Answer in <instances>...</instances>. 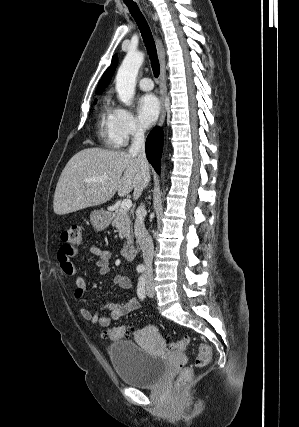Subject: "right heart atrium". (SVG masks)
Here are the masks:
<instances>
[{
  "label": "right heart atrium",
  "instance_id": "right-heart-atrium-1",
  "mask_svg": "<svg viewBox=\"0 0 299 427\" xmlns=\"http://www.w3.org/2000/svg\"><path fill=\"white\" fill-rule=\"evenodd\" d=\"M113 136L118 146L143 135L144 131L130 110L122 106L113 108Z\"/></svg>",
  "mask_w": 299,
  "mask_h": 427
}]
</instances>
